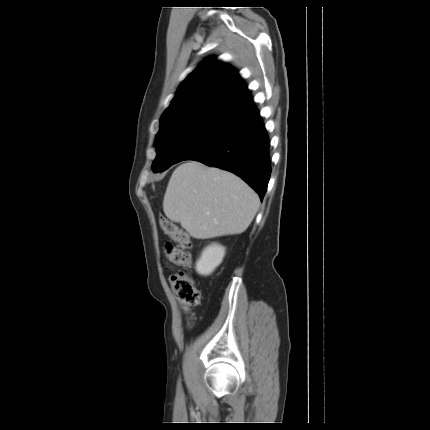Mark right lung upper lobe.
Listing matches in <instances>:
<instances>
[{
  "label": "right lung upper lobe",
  "instance_id": "1",
  "mask_svg": "<svg viewBox=\"0 0 430 430\" xmlns=\"http://www.w3.org/2000/svg\"><path fill=\"white\" fill-rule=\"evenodd\" d=\"M214 59L206 58L188 75L162 116L212 100L226 102L239 116L254 106L250 94L243 91L247 87L238 71Z\"/></svg>",
  "mask_w": 430,
  "mask_h": 430
}]
</instances>
